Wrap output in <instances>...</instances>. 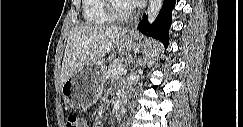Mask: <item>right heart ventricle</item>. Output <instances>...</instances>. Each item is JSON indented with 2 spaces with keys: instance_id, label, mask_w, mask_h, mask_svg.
<instances>
[{
  "instance_id": "1",
  "label": "right heart ventricle",
  "mask_w": 243,
  "mask_h": 127,
  "mask_svg": "<svg viewBox=\"0 0 243 127\" xmlns=\"http://www.w3.org/2000/svg\"><path fill=\"white\" fill-rule=\"evenodd\" d=\"M82 14L89 25H105L114 21L106 10V0H83Z\"/></svg>"
}]
</instances>
